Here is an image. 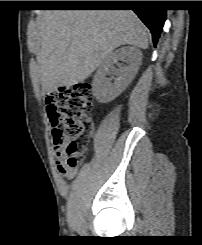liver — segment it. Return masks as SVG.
Segmentation results:
<instances>
[{"label":"liver","instance_id":"1","mask_svg":"<svg viewBox=\"0 0 202 245\" xmlns=\"http://www.w3.org/2000/svg\"><path fill=\"white\" fill-rule=\"evenodd\" d=\"M42 91L87 79L117 47L147 49L148 32L131 10H46L38 21Z\"/></svg>","mask_w":202,"mask_h":245}]
</instances>
